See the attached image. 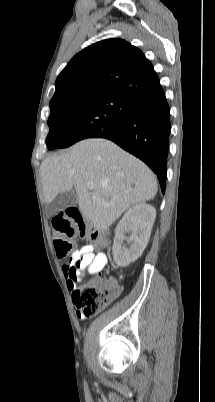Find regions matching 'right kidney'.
Here are the masks:
<instances>
[{
    "instance_id": "right-kidney-1",
    "label": "right kidney",
    "mask_w": 215,
    "mask_h": 402,
    "mask_svg": "<svg viewBox=\"0 0 215 402\" xmlns=\"http://www.w3.org/2000/svg\"><path fill=\"white\" fill-rule=\"evenodd\" d=\"M155 217V208L145 203L132 206L124 214L115 229L112 248L114 262L119 267H127L142 255L148 244ZM126 233L130 236L126 237ZM124 241L128 242L129 248H126Z\"/></svg>"
}]
</instances>
